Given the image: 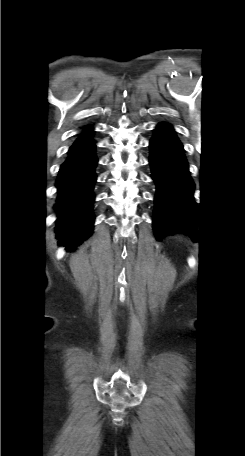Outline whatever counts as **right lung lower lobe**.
<instances>
[{
  "label": "right lung lower lobe",
  "mask_w": 245,
  "mask_h": 456,
  "mask_svg": "<svg viewBox=\"0 0 245 456\" xmlns=\"http://www.w3.org/2000/svg\"><path fill=\"white\" fill-rule=\"evenodd\" d=\"M95 149L96 142L91 137L75 142L57 178L56 233L58 244L67 246V249H75L92 232L93 185L98 161Z\"/></svg>",
  "instance_id": "1"
}]
</instances>
